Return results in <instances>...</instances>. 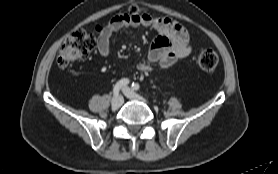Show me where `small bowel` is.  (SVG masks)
Masks as SVG:
<instances>
[{
  "label": "small bowel",
  "instance_id": "small-bowel-1",
  "mask_svg": "<svg viewBox=\"0 0 278 174\" xmlns=\"http://www.w3.org/2000/svg\"><path fill=\"white\" fill-rule=\"evenodd\" d=\"M148 27L156 31L157 36L151 43L149 60L158 64L161 69L171 68L179 59L191 53L187 30L177 21L168 17H156L147 13L120 14L112 18L98 34L97 49L107 58L110 54V39L122 28ZM138 70L144 73L151 71V66L140 63Z\"/></svg>",
  "mask_w": 278,
  "mask_h": 174
}]
</instances>
